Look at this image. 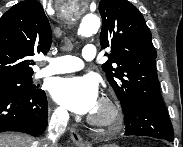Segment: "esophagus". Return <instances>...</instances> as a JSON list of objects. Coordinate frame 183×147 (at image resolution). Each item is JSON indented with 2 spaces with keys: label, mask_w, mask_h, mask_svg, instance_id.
Masks as SVG:
<instances>
[{
  "label": "esophagus",
  "mask_w": 183,
  "mask_h": 147,
  "mask_svg": "<svg viewBox=\"0 0 183 147\" xmlns=\"http://www.w3.org/2000/svg\"><path fill=\"white\" fill-rule=\"evenodd\" d=\"M69 133L71 136L72 141L77 145V146H88V142L83 140V138L79 135L77 130L74 127L69 128Z\"/></svg>",
  "instance_id": "1"
}]
</instances>
